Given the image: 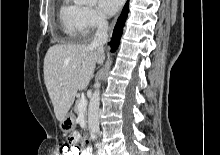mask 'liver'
<instances>
[{
	"label": "liver",
	"mask_w": 220,
	"mask_h": 155,
	"mask_svg": "<svg viewBox=\"0 0 220 155\" xmlns=\"http://www.w3.org/2000/svg\"><path fill=\"white\" fill-rule=\"evenodd\" d=\"M103 58L90 46L56 44L44 58V82L61 122L71 108L78 90H84Z\"/></svg>",
	"instance_id": "1"
}]
</instances>
